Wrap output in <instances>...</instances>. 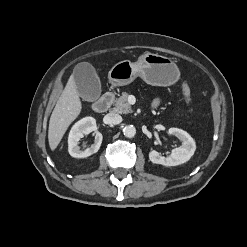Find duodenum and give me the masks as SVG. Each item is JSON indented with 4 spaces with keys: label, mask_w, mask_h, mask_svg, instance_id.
Listing matches in <instances>:
<instances>
[{
    "label": "duodenum",
    "mask_w": 247,
    "mask_h": 247,
    "mask_svg": "<svg viewBox=\"0 0 247 247\" xmlns=\"http://www.w3.org/2000/svg\"><path fill=\"white\" fill-rule=\"evenodd\" d=\"M113 94L108 92L102 95L97 101L92 105V108L97 113H103L107 111L112 104Z\"/></svg>",
    "instance_id": "410a0bca"
}]
</instances>
